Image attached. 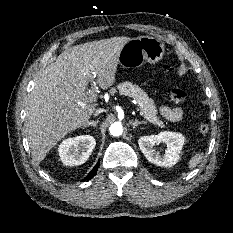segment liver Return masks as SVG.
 <instances>
[{"mask_svg": "<svg viewBox=\"0 0 233 233\" xmlns=\"http://www.w3.org/2000/svg\"><path fill=\"white\" fill-rule=\"evenodd\" d=\"M129 37L87 42L62 52L35 80L25 131L33 158L41 162L68 133L85 125L98 103L88 101L89 74L107 89L115 83L119 55Z\"/></svg>", "mask_w": 233, "mask_h": 233, "instance_id": "liver-1", "label": "liver"}]
</instances>
